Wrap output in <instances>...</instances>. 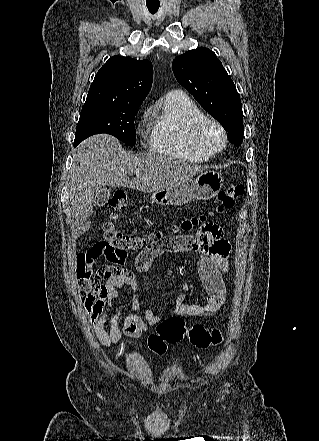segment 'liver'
Listing matches in <instances>:
<instances>
[{
    "label": "liver",
    "mask_w": 319,
    "mask_h": 441,
    "mask_svg": "<svg viewBox=\"0 0 319 441\" xmlns=\"http://www.w3.org/2000/svg\"><path fill=\"white\" fill-rule=\"evenodd\" d=\"M206 168V165L188 164L162 155L128 153L120 141L110 135L87 138L75 149L70 171L69 198L75 219L73 238L89 230L91 222L87 220L93 213L100 188L128 187L150 193L169 189ZM136 171L140 175L130 180L128 175Z\"/></svg>",
    "instance_id": "1"
}]
</instances>
